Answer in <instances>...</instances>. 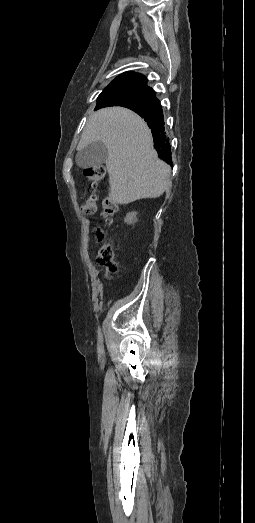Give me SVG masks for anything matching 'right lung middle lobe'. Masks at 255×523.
Returning a JSON list of instances; mask_svg holds the SVG:
<instances>
[{"instance_id":"right-lung-middle-lobe-1","label":"right lung middle lobe","mask_w":255,"mask_h":523,"mask_svg":"<svg viewBox=\"0 0 255 523\" xmlns=\"http://www.w3.org/2000/svg\"><path fill=\"white\" fill-rule=\"evenodd\" d=\"M104 97L118 102H143L147 99V94L142 90H125L109 92Z\"/></svg>"}]
</instances>
